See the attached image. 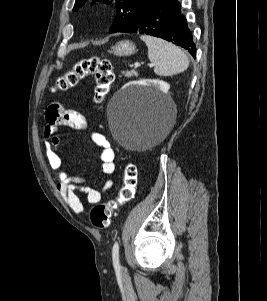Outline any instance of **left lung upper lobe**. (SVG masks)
<instances>
[{
    "instance_id": "1",
    "label": "left lung upper lobe",
    "mask_w": 267,
    "mask_h": 301,
    "mask_svg": "<svg viewBox=\"0 0 267 301\" xmlns=\"http://www.w3.org/2000/svg\"><path fill=\"white\" fill-rule=\"evenodd\" d=\"M87 0H76L73 10H78ZM109 4L108 0H97ZM117 9V16L109 30L110 33H116L127 23L133 21L138 15L143 13L149 4L156 0H111ZM96 0L92 2L94 4Z\"/></svg>"
}]
</instances>
